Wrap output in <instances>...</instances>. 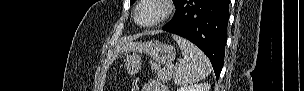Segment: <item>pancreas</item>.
<instances>
[{
	"label": "pancreas",
	"mask_w": 304,
	"mask_h": 91,
	"mask_svg": "<svg viewBox=\"0 0 304 91\" xmlns=\"http://www.w3.org/2000/svg\"><path fill=\"white\" fill-rule=\"evenodd\" d=\"M156 78L162 82H167L172 78L173 71L169 67L159 68L153 67Z\"/></svg>",
	"instance_id": "cf45deb5"
}]
</instances>
